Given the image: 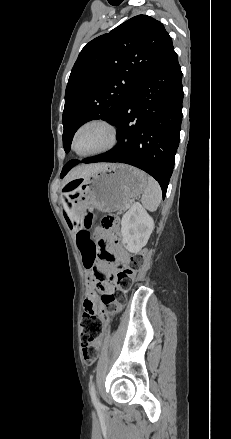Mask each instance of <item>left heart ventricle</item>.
I'll use <instances>...</instances> for the list:
<instances>
[{
	"label": "left heart ventricle",
	"instance_id": "left-heart-ventricle-1",
	"mask_svg": "<svg viewBox=\"0 0 231 439\" xmlns=\"http://www.w3.org/2000/svg\"><path fill=\"white\" fill-rule=\"evenodd\" d=\"M107 132L99 126H89L83 129L77 136L76 149L85 153L101 148L107 141Z\"/></svg>",
	"mask_w": 231,
	"mask_h": 439
}]
</instances>
